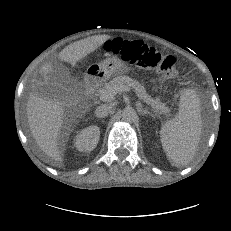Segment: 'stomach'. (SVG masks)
<instances>
[{
    "mask_svg": "<svg viewBox=\"0 0 231 231\" xmlns=\"http://www.w3.org/2000/svg\"><path fill=\"white\" fill-rule=\"evenodd\" d=\"M128 71L125 64L117 57L106 58L98 64L88 67L86 77L98 81H106L110 77L123 74Z\"/></svg>",
    "mask_w": 231,
    "mask_h": 231,
    "instance_id": "obj_1",
    "label": "stomach"
}]
</instances>
